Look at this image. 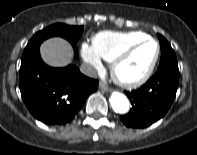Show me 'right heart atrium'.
Here are the masks:
<instances>
[{"mask_svg":"<svg viewBox=\"0 0 197 155\" xmlns=\"http://www.w3.org/2000/svg\"><path fill=\"white\" fill-rule=\"evenodd\" d=\"M81 56L92 67L100 68L102 66L101 58L94 50L93 46L86 42H83L81 45Z\"/></svg>","mask_w":197,"mask_h":155,"instance_id":"obj_1","label":"right heart atrium"}]
</instances>
